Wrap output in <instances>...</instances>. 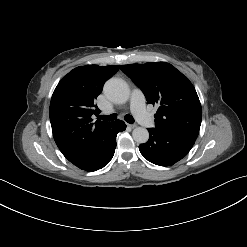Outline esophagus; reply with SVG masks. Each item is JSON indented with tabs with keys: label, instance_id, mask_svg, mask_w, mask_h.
I'll return each mask as SVG.
<instances>
[{
	"label": "esophagus",
	"instance_id": "34e87169",
	"mask_svg": "<svg viewBox=\"0 0 247 247\" xmlns=\"http://www.w3.org/2000/svg\"><path fill=\"white\" fill-rule=\"evenodd\" d=\"M127 126L130 127L131 129H134L137 127L136 124H127Z\"/></svg>",
	"mask_w": 247,
	"mask_h": 247
}]
</instances>
